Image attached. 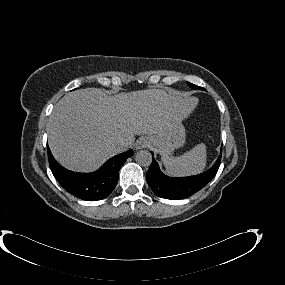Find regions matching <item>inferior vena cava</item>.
Segmentation results:
<instances>
[{"label":"inferior vena cava","instance_id":"obj_1","mask_svg":"<svg viewBox=\"0 0 285 285\" xmlns=\"http://www.w3.org/2000/svg\"><path fill=\"white\" fill-rule=\"evenodd\" d=\"M124 146H125V143H124L123 141L118 142V143L116 144V148H117L118 150H122V149L124 148Z\"/></svg>","mask_w":285,"mask_h":285}]
</instances>
